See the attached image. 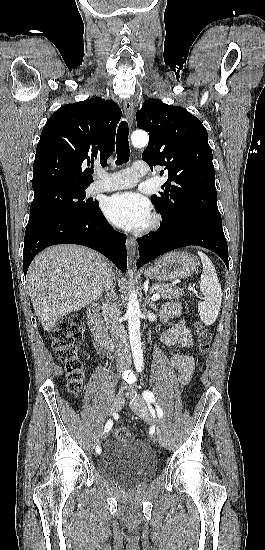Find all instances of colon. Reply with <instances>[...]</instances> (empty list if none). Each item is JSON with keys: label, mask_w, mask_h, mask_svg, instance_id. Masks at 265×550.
Masks as SVG:
<instances>
[{"label": "colon", "mask_w": 265, "mask_h": 550, "mask_svg": "<svg viewBox=\"0 0 265 550\" xmlns=\"http://www.w3.org/2000/svg\"><path fill=\"white\" fill-rule=\"evenodd\" d=\"M79 332L80 329L75 316L61 319L52 332L53 349L57 359L65 364L69 380V391L73 395H78L81 392L84 381L83 364L78 357V347L75 343ZM195 332L198 349L200 353H205L209 349L211 334L200 323L195 325ZM113 436L117 441H130L133 439V434L124 427L116 429Z\"/></svg>", "instance_id": "obj_1"}]
</instances>
